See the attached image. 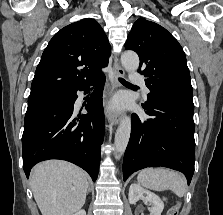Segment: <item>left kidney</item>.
<instances>
[{
  "instance_id": "left-kidney-1",
  "label": "left kidney",
  "mask_w": 223,
  "mask_h": 215,
  "mask_svg": "<svg viewBox=\"0 0 223 215\" xmlns=\"http://www.w3.org/2000/svg\"><path fill=\"white\" fill-rule=\"evenodd\" d=\"M129 203H136L138 199H145L149 201L151 207H149L150 215H161L164 209V203L160 199L159 195L152 193L149 189H144L141 185L137 183H131L129 187Z\"/></svg>"
}]
</instances>
